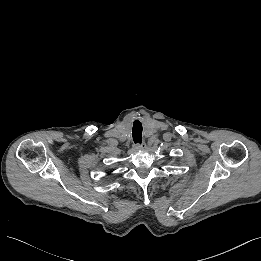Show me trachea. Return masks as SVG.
I'll return each instance as SVG.
<instances>
[{
  "mask_svg": "<svg viewBox=\"0 0 261 261\" xmlns=\"http://www.w3.org/2000/svg\"><path fill=\"white\" fill-rule=\"evenodd\" d=\"M132 137L134 143L137 145H141L142 138V125L139 121H135L132 129Z\"/></svg>",
  "mask_w": 261,
  "mask_h": 261,
  "instance_id": "trachea-1",
  "label": "trachea"
}]
</instances>
